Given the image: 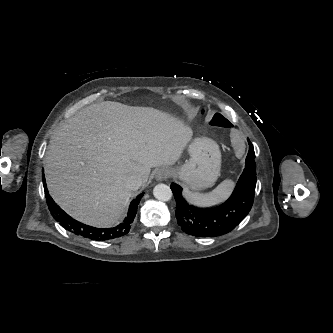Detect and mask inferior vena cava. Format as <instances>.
<instances>
[{
	"label": "inferior vena cava",
	"mask_w": 333,
	"mask_h": 333,
	"mask_svg": "<svg viewBox=\"0 0 333 333\" xmlns=\"http://www.w3.org/2000/svg\"><path fill=\"white\" fill-rule=\"evenodd\" d=\"M126 187L130 190H136L140 188L143 183V179L138 174H131L125 179Z\"/></svg>",
	"instance_id": "obj_1"
}]
</instances>
